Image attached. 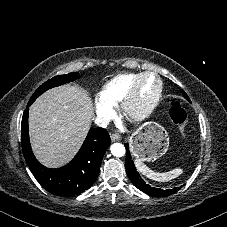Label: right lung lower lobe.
<instances>
[{
  "label": "right lung lower lobe",
  "instance_id": "obj_1",
  "mask_svg": "<svg viewBox=\"0 0 227 227\" xmlns=\"http://www.w3.org/2000/svg\"><path fill=\"white\" fill-rule=\"evenodd\" d=\"M28 103L23 113L21 140L24 158L42 187L58 196H74L89 189L99 174L101 161L110 145L108 132L103 128L91 129L74 159L66 166L51 169L43 166L35 158L29 141Z\"/></svg>",
  "mask_w": 227,
  "mask_h": 227
}]
</instances>
